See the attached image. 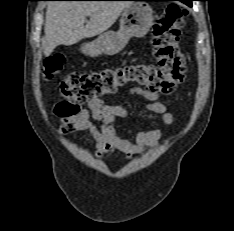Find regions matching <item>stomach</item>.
<instances>
[{"mask_svg":"<svg viewBox=\"0 0 234 231\" xmlns=\"http://www.w3.org/2000/svg\"><path fill=\"white\" fill-rule=\"evenodd\" d=\"M153 25V10L145 2H133L126 7L118 31H107L86 43L81 51L91 57L119 53L132 37H144Z\"/></svg>","mask_w":234,"mask_h":231,"instance_id":"stomach-1","label":"stomach"}]
</instances>
